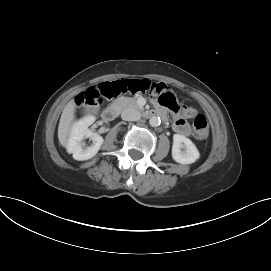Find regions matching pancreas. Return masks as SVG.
I'll return each mask as SVG.
<instances>
[{
    "label": "pancreas",
    "mask_w": 271,
    "mask_h": 271,
    "mask_svg": "<svg viewBox=\"0 0 271 271\" xmlns=\"http://www.w3.org/2000/svg\"><path fill=\"white\" fill-rule=\"evenodd\" d=\"M114 104L120 106L122 109L128 108V107H133L137 108V103L136 100L133 98H128V97H121L117 99Z\"/></svg>",
    "instance_id": "pancreas-1"
}]
</instances>
